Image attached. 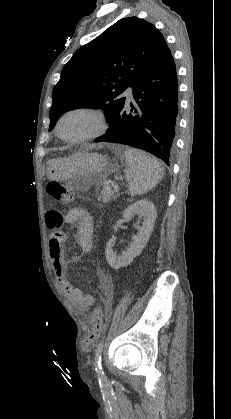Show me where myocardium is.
Wrapping results in <instances>:
<instances>
[{
    "mask_svg": "<svg viewBox=\"0 0 231 419\" xmlns=\"http://www.w3.org/2000/svg\"><path fill=\"white\" fill-rule=\"evenodd\" d=\"M73 113H85L88 115H91L97 122V127L96 129L91 132L90 134H87L85 136H81V137H76V138H66L64 137L61 132H60V126L62 121L64 120L65 117H67L70 114ZM107 129V121H106V117L103 114V112H101L98 109H94V108H90V107H75V108H71L69 110H67L66 112H64L58 119L57 123H56V133L58 135V137L60 139H62L65 142L68 143H82V142H87V141H91L94 140L98 137H100Z\"/></svg>",
    "mask_w": 231,
    "mask_h": 419,
    "instance_id": "myocardium-1",
    "label": "myocardium"
}]
</instances>
